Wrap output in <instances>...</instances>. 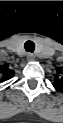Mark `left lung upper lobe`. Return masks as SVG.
Returning <instances> with one entry per match:
<instances>
[{"instance_id": "obj_1", "label": "left lung upper lobe", "mask_w": 63, "mask_h": 123, "mask_svg": "<svg viewBox=\"0 0 63 123\" xmlns=\"http://www.w3.org/2000/svg\"><path fill=\"white\" fill-rule=\"evenodd\" d=\"M58 73H61V71H58ZM55 78L58 79V75H55ZM53 86L56 90L62 91L63 90V79H58L53 83Z\"/></svg>"}]
</instances>
